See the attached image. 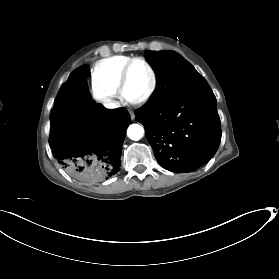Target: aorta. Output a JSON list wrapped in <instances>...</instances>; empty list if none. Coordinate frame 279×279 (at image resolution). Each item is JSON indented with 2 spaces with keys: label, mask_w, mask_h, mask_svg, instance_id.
Masks as SVG:
<instances>
[{
  "label": "aorta",
  "mask_w": 279,
  "mask_h": 279,
  "mask_svg": "<svg viewBox=\"0 0 279 279\" xmlns=\"http://www.w3.org/2000/svg\"><path fill=\"white\" fill-rule=\"evenodd\" d=\"M127 135L131 140H139L144 135V128L139 124H131L127 129Z\"/></svg>",
  "instance_id": "aorta-1"
}]
</instances>
